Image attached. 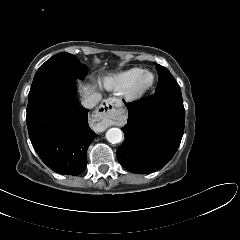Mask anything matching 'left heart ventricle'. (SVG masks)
Listing matches in <instances>:
<instances>
[{"label": "left heart ventricle", "instance_id": "obj_1", "mask_svg": "<svg viewBox=\"0 0 240 240\" xmlns=\"http://www.w3.org/2000/svg\"><path fill=\"white\" fill-rule=\"evenodd\" d=\"M152 80L151 75H145L141 81V86H147Z\"/></svg>", "mask_w": 240, "mask_h": 240}]
</instances>
